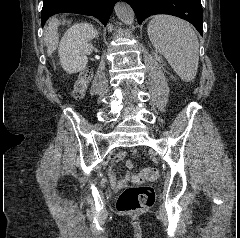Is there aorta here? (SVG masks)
<instances>
[{"mask_svg": "<svg viewBox=\"0 0 240 238\" xmlns=\"http://www.w3.org/2000/svg\"><path fill=\"white\" fill-rule=\"evenodd\" d=\"M117 17L127 25H131L134 21V11L125 2H118L114 7Z\"/></svg>", "mask_w": 240, "mask_h": 238, "instance_id": "obj_1", "label": "aorta"}]
</instances>
